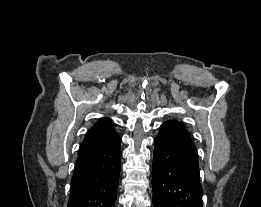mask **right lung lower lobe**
Returning <instances> with one entry per match:
<instances>
[{"instance_id": "right-lung-lower-lobe-1", "label": "right lung lower lobe", "mask_w": 261, "mask_h": 207, "mask_svg": "<svg viewBox=\"0 0 261 207\" xmlns=\"http://www.w3.org/2000/svg\"><path fill=\"white\" fill-rule=\"evenodd\" d=\"M121 137L79 150L68 207H114L120 175Z\"/></svg>"}]
</instances>
